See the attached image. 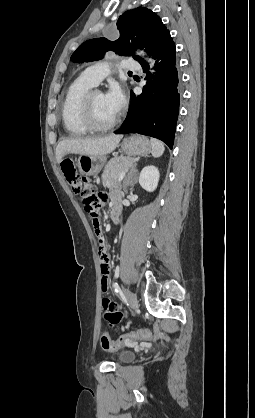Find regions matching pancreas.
<instances>
[{"label":"pancreas","instance_id":"obj_1","mask_svg":"<svg viewBox=\"0 0 255 418\" xmlns=\"http://www.w3.org/2000/svg\"><path fill=\"white\" fill-rule=\"evenodd\" d=\"M134 163L135 159L132 157L119 156L112 158L105 166L102 174L103 186L113 189L121 172L129 169Z\"/></svg>","mask_w":255,"mask_h":418}]
</instances>
